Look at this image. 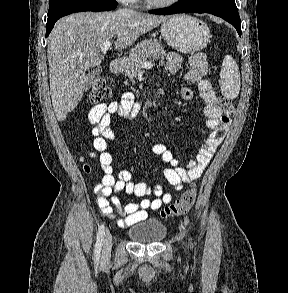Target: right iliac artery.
<instances>
[{
	"mask_svg": "<svg viewBox=\"0 0 288 293\" xmlns=\"http://www.w3.org/2000/svg\"><path fill=\"white\" fill-rule=\"evenodd\" d=\"M104 234H105L104 225H101L99 227V230H98V233H97V241H96L95 250H94L95 262H98L99 258H100V252H101V249H102Z\"/></svg>",
	"mask_w": 288,
	"mask_h": 293,
	"instance_id": "right-iliac-artery-1",
	"label": "right iliac artery"
}]
</instances>
